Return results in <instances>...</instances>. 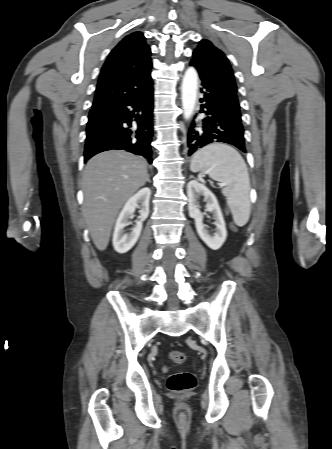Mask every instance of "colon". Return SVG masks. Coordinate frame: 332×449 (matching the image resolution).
I'll use <instances>...</instances> for the list:
<instances>
[{
    "instance_id": "1",
    "label": "colon",
    "mask_w": 332,
    "mask_h": 449,
    "mask_svg": "<svg viewBox=\"0 0 332 449\" xmlns=\"http://www.w3.org/2000/svg\"><path fill=\"white\" fill-rule=\"evenodd\" d=\"M169 357L176 364H182L185 361V354L178 350H172ZM195 384V376L188 371L175 372L169 376L167 381L168 389L173 393L189 392L195 387Z\"/></svg>"
}]
</instances>
